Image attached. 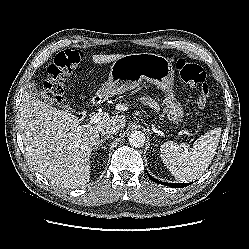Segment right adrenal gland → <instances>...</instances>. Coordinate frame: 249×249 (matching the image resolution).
Masks as SVG:
<instances>
[{
	"label": "right adrenal gland",
	"mask_w": 249,
	"mask_h": 249,
	"mask_svg": "<svg viewBox=\"0 0 249 249\" xmlns=\"http://www.w3.org/2000/svg\"><path fill=\"white\" fill-rule=\"evenodd\" d=\"M110 138H111V136H105V137L101 138V139L96 143V147H95V150H94V151L99 150V149L103 146L104 141H106V140H108V139H110Z\"/></svg>",
	"instance_id": "2a0ac1e0"
}]
</instances>
